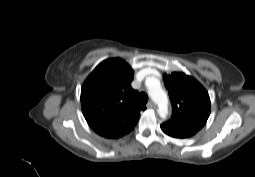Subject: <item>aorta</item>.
I'll list each match as a JSON object with an SVG mask.
<instances>
[{
	"label": "aorta",
	"instance_id": "1",
	"mask_svg": "<svg viewBox=\"0 0 255 177\" xmlns=\"http://www.w3.org/2000/svg\"><path fill=\"white\" fill-rule=\"evenodd\" d=\"M147 88L151 99L159 107L160 116L164 117L167 114L168 98L166 92L161 88L160 81L155 78H150L147 83Z\"/></svg>",
	"mask_w": 255,
	"mask_h": 177
}]
</instances>
